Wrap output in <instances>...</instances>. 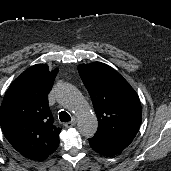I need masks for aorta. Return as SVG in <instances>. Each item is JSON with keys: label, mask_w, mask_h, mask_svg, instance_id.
<instances>
[{"label": "aorta", "mask_w": 171, "mask_h": 171, "mask_svg": "<svg viewBox=\"0 0 171 171\" xmlns=\"http://www.w3.org/2000/svg\"><path fill=\"white\" fill-rule=\"evenodd\" d=\"M57 100L77 117V126L84 137H93L98 128V120L89 103L71 84L63 83L57 91Z\"/></svg>", "instance_id": "1"}]
</instances>
